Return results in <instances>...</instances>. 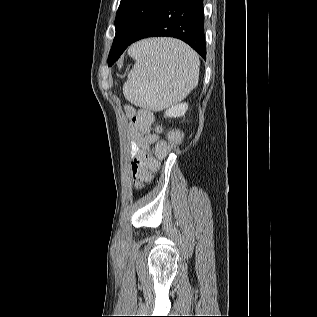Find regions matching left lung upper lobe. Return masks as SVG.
Instances as JSON below:
<instances>
[{"mask_svg":"<svg viewBox=\"0 0 317 317\" xmlns=\"http://www.w3.org/2000/svg\"><path fill=\"white\" fill-rule=\"evenodd\" d=\"M164 1L121 0L115 19L116 35L113 43L123 44L130 41ZM113 63L110 54L108 64L111 66Z\"/></svg>","mask_w":317,"mask_h":317,"instance_id":"left-lung-upper-lobe-1","label":"left lung upper lobe"}]
</instances>
